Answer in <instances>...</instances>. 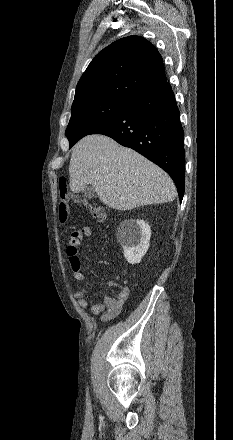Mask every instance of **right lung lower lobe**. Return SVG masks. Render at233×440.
Segmentation results:
<instances>
[{"label": "right lung lower lobe", "mask_w": 233, "mask_h": 440, "mask_svg": "<svg viewBox=\"0 0 233 440\" xmlns=\"http://www.w3.org/2000/svg\"><path fill=\"white\" fill-rule=\"evenodd\" d=\"M91 134H103L132 148L166 171L184 195V131L170 84L142 92L105 125Z\"/></svg>", "instance_id": "right-lung-lower-lobe-1"}]
</instances>
